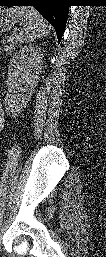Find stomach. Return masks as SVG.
I'll return each mask as SVG.
<instances>
[{
    "label": "stomach",
    "mask_w": 106,
    "mask_h": 257,
    "mask_svg": "<svg viewBox=\"0 0 106 257\" xmlns=\"http://www.w3.org/2000/svg\"><path fill=\"white\" fill-rule=\"evenodd\" d=\"M18 21L16 9L2 8L0 10V31L6 32L10 30Z\"/></svg>",
    "instance_id": "1"
}]
</instances>
